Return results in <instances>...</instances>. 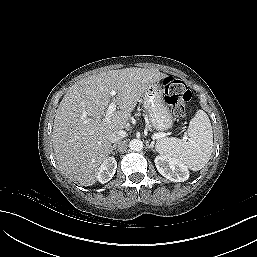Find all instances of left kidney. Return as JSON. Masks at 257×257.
<instances>
[{
    "instance_id": "left-kidney-1",
    "label": "left kidney",
    "mask_w": 257,
    "mask_h": 257,
    "mask_svg": "<svg viewBox=\"0 0 257 257\" xmlns=\"http://www.w3.org/2000/svg\"><path fill=\"white\" fill-rule=\"evenodd\" d=\"M154 161L158 172L166 179L174 182H184L189 178L187 167L176 159L157 156Z\"/></svg>"
}]
</instances>
